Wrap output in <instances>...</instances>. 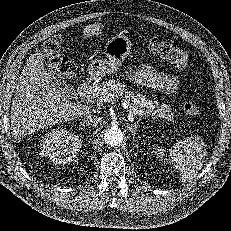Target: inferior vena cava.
<instances>
[{"label":"inferior vena cava","instance_id":"inferior-vena-cava-1","mask_svg":"<svg viewBox=\"0 0 231 231\" xmlns=\"http://www.w3.org/2000/svg\"><path fill=\"white\" fill-rule=\"evenodd\" d=\"M101 123V118L96 115H86L81 122L84 127H96Z\"/></svg>","mask_w":231,"mask_h":231}]
</instances>
